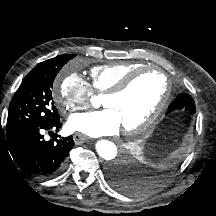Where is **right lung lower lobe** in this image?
<instances>
[{
    "label": "right lung lower lobe",
    "instance_id": "1",
    "mask_svg": "<svg viewBox=\"0 0 216 216\" xmlns=\"http://www.w3.org/2000/svg\"><path fill=\"white\" fill-rule=\"evenodd\" d=\"M61 126L58 119L51 124L21 127L7 131L5 140L2 133V140L21 169L35 177L47 179L63 170L67 156L74 146L72 136H59V139L56 136L49 141L44 140V131H58Z\"/></svg>",
    "mask_w": 216,
    "mask_h": 216
}]
</instances>
